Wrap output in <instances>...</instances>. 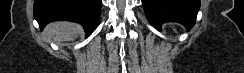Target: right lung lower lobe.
Returning <instances> with one entry per match:
<instances>
[{
  "label": "right lung lower lobe",
  "instance_id": "98d812e1",
  "mask_svg": "<svg viewBox=\"0 0 244 73\" xmlns=\"http://www.w3.org/2000/svg\"><path fill=\"white\" fill-rule=\"evenodd\" d=\"M102 0H35L34 17L43 29L55 20L80 23L89 36L97 27Z\"/></svg>",
  "mask_w": 244,
  "mask_h": 73
}]
</instances>
